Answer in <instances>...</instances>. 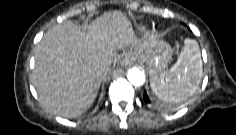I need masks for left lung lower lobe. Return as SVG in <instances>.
<instances>
[{"instance_id":"obj_1","label":"left lung lower lobe","mask_w":236,"mask_h":135,"mask_svg":"<svg viewBox=\"0 0 236 135\" xmlns=\"http://www.w3.org/2000/svg\"><path fill=\"white\" fill-rule=\"evenodd\" d=\"M144 101H145L146 103H150V99H149V97H148L146 91L144 92Z\"/></svg>"}]
</instances>
